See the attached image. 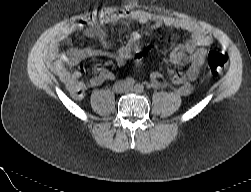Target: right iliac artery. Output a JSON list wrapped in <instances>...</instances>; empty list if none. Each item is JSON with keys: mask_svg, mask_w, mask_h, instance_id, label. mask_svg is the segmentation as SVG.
<instances>
[{"mask_svg": "<svg viewBox=\"0 0 251 192\" xmlns=\"http://www.w3.org/2000/svg\"><path fill=\"white\" fill-rule=\"evenodd\" d=\"M125 84L129 87H132L135 84V80L132 77H127L125 79Z\"/></svg>", "mask_w": 251, "mask_h": 192, "instance_id": "right-iliac-artery-1", "label": "right iliac artery"}]
</instances>
